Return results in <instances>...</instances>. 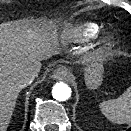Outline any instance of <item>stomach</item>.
<instances>
[{
	"instance_id": "obj_1",
	"label": "stomach",
	"mask_w": 131,
	"mask_h": 131,
	"mask_svg": "<svg viewBox=\"0 0 131 131\" xmlns=\"http://www.w3.org/2000/svg\"><path fill=\"white\" fill-rule=\"evenodd\" d=\"M104 68L101 61L93 60L84 69V78L88 88L97 89L103 81Z\"/></svg>"
}]
</instances>
